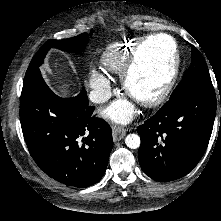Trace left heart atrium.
Segmentation results:
<instances>
[{
    "instance_id": "obj_1",
    "label": "left heart atrium",
    "mask_w": 221,
    "mask_h": 221,
    "mask_svg": "<svg viewBox=\"0 0 221 221\" xmlns=\"http://www.w3.org/2000/svg\"><path fill=\"white\" fill-rule=\"evenodd\" d=\"M108 112L114 120L127 122L132 118L135 110L130 102L120 101L112 105Z\"/></svg>"
}]
</instances>
